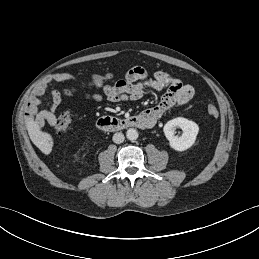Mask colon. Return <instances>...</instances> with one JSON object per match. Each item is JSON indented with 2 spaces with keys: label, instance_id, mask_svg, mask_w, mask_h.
<instances>
[{
  "label": "colon",
  "instance_id": "colon-1",
  "mask_svg": "<svg viewBox=\"0 0 259 259\" xmlns=\"http://www.w3.org/2000/svg\"><path fill=\"white\" fill-rule=\"evenodd\" d=\"M115 78L111 74L107 75H95L92 76L89 80V84L92 86H101L108 82H114ZM207 112L212 117H217L219 111L217 107L213 104L207 106ZM73 117L69 112H61L57 117L54 129L57 133L67 132L72 127Z\"/></svg>",
  "mask_w": 259,
  "mask_h": 259
}]
</instances>
